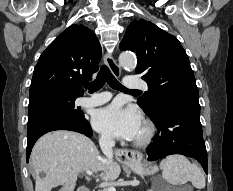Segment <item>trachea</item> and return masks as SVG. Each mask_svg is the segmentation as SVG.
I'll list each match as a JSON object with an SVG mask.
<instances>
[{
  "label": "trachea",
  "mask_w": 233,
  "mask_h": 191,
  "mask_svg": "<svg viewBox=\"0 0 233 191\" xmlns=\"http://www.w3.org/2000/svg\"><path fill=\"white\" fill-rule=\"evenodd\" d=\"M106 81L113 89L124 92H139L138 90H129L125 88L120 82L117 81L106 65L101 67V70L98 73L96 79L92 82L86 83L84 88L88 89L90 93H93L100 90Z\"/></svg>",
  "instance_id": "3493384b"
}]
</instances>
